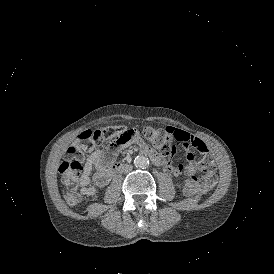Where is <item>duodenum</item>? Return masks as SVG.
Here are the masks:
<instances>
[{"instance_id": "410a0bca", "label": "duodenum", "mask_w": 274, "mask_h": 274, "mask_svg": "<svg viewBox=\"0 0 274 274\" xmlns=\"http://www.w3.org/2000/svg\"><path fill=\"white\" fill-rule=\"evenodd\" d=\"M142 154L150 157L153 161H157L158 157L157 154L150 148H145L142 149ZM122 163H115L113 165V171H117L118 169H120L122 167Z\"/></svg>"}]
</instances>
